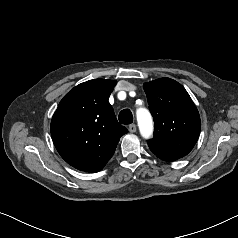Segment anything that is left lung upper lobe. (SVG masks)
Segmentation results:
<instances>
[{
    "mask_svg": "<svg viewBox=\"0 0 238 238\" xmlns=\"http://www.w3.org/2000/svg\"><path fill=\"white\" fill-rule=\"evenodd\" d=\"M155 121L154 137L148 141L158 156L176 160L196 144L201 128L198 110L185 88L170 78H160L143 86Z\"/></svg>",
    "mask_w": 238,
    "mask_h": 238,
    "instance_id": "left-lung-upper-lobe-1",
    "label": "left lung upper lobe"
}]
</instances>
